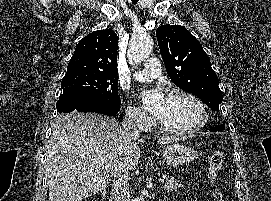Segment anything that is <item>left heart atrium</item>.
Masks as SVG:
<instances>
[{
	"label": "left heart atrium",
	"instance_id": "39dd6f15",
	"mask_svg": "<svg viewBox=\"0 0 271 201\" xmlns=\"http://www.w3.org/2000/svg\"><path fill=\"white\" fill-rule=\"evenodd\" d=\"M143 107L160 118L166 103V98L159 88L143 89L139 93Z\"/></svg>",
	"mask_w": 271,
	"mask_h": 201
}]
</instances>
